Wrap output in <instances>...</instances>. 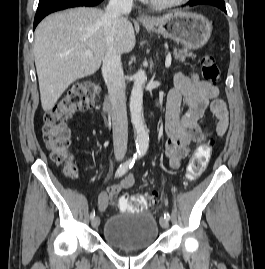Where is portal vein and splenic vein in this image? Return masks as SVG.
I'll list each match as a JSON object with an SVG mask.
<instances>
[{"mask_svg":"<svg viewBox=\"0 0 265 269\" xmlns=\"http://www.w3.org/2000/svg\"><path fill=\"white\" fill-rule=\"evenodd\" d=\"M86 54L87 55H92V52L91 51H86ZM170 65H171V54L168 53L167 56H166L165 66L169 67Z\"/></svg>","mask_w":265,"mask_h":269,"instance_id":"portal-vein-and-splenic-vein-1","label":"portal vein and splenic vein"}]
</instances>
